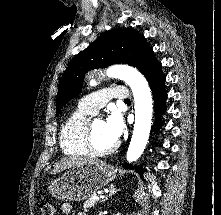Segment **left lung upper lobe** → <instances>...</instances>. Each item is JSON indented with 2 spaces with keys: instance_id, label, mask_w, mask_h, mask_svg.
<instances>
[{
  "instance_id": "obj_1",
  "label": "left lung upper lobe",
  "mask_w": 221,
  "mask_h": 215,
  "mask_svg": "<svg viewBox=\"0 0 221 215\" xmlns=\"http://www.w3.org/2000/svg\"><path fill=\"white\" fill-rule=\"evenodd\" d=\"M155 62L157 60L153 58V51L149 48L145 37L136 30L125 28L103 33L69 63L60 79L56 115L64 104L80 93L87 71L123 63L136 67L143 73Z\"/></svg>"
}]
</instances>
